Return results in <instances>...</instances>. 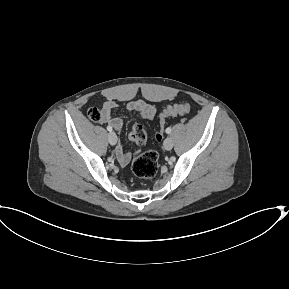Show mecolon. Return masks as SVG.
<instances>
[{"instance_id": "5ec220e1", "label": "colon", "mask_w": 289, "mask_h": 289, "mask_svg": "<svg viewBox=\"0 0 289 289\" xmlns=\"http://www.w3.org/2000/svg\"><path fill=\"white\" fill-rule=\"evenodd\" d=\"M190 111L188 103H180L166 107L160 114V123L163 125L167 118L177 115H183ZM88 117L95 122L101 121L102 112L97 108H92L88 111ZM148 133L146 129L135 124L130 133V139L138 145L146 142ZM157 140L161 139V135H156ZM159 167L158 154L154 150H148L139 154L132 163L133 173L142 179H149L156 175Z\"/></svg>"}]
</instances>
